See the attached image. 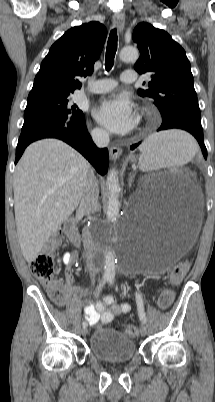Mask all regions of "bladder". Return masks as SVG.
I'll use <instances>...</instances> for the list:
<instances>
[{
	"label": "bladder",
	"mask_w": 215,
	"mask_h": 402,
	"mask_svg": "<svg viewBox=\"0 0 215 402\" xmlns=\"http://www.w3.org/2000/svg\"><path fill=\"white\" fill-rule=\"evenodd\" d=\"M89 349L96 358L106 362L128 361L136 354L133 339L111 328L96 329L89 338Z\"/></svg>",
	"instance_id": "obj_1"
}]
</instances>
